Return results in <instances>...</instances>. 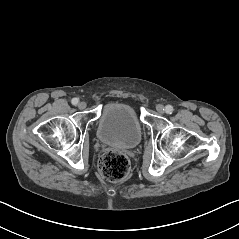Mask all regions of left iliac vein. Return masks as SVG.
Here are the masks:
<instances>
[{
    "label": "left iliac vein",
    "instance_id": "4c4485c4",
    "mask_svg": "<svg viewBox=\"0 0 239 239\" xmlns=\"http://www.w3.org/2000/svg\"><path fill=\"white\" fill-rule=\"evenodd\" d=\"M156 110L160 113L163 114L165 112V107L162 104H158L156 106Z\"/></svg>",
    "mask_w": 239,
    "mask_h": 239
}]
</instances>
